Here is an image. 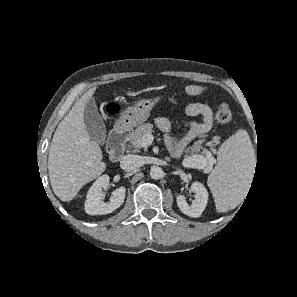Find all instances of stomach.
I'll return each mask as SVG.
<instances>
[{"label":"stomach","instance_id":"0dacf381","mask_svg":"<svg viewBox=\"0 0 297 297\" xmlns=\"http://www.w3.org/2000/svg\"><path fill=\"white\" fill-rule=\"evenodd\" d=\"M160 100V97L154 99H143L137 102L134 106L127 108L120 116L116 123L117 128L127 129L135 127L146 121L152 108Z\"/></svg>","mask_w":297,"mask_h":297}]
</instances>
